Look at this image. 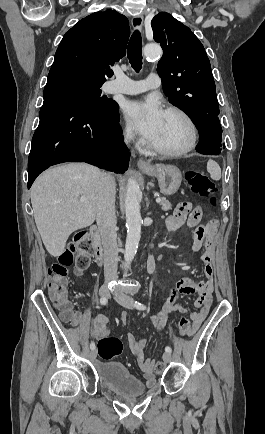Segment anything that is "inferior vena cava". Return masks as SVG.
<instances>
[{"label": "inferior vena cava", "mask_w": 265, "mask_h": 434, "mask_svg": "<svg viewBox=\"0 0 265 434\" xmlns=\"http://www.w3.org/2000/svg\"><path fill=\"white\" fill-rule=\"evenodd\" d=\"M96 190H98L99 194L96 210V222L104 250V276L105 280H117L119 248L117 246L115 216L116 192L113 176L101 172L98 176Z\"/></svg>", "instance_id": "obj_1"}]
</instances>
